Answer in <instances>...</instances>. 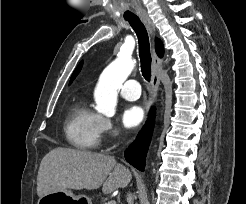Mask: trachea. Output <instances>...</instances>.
<instances>
[{"label": "trachea", "mask_w": 246, "mask_h": 204, "mask_svg": "<svg viewBox=\"0 0 246 204\" xmlns=\"http://www.w3.org/2000/svg\"><path fill=\"white\" fill-rule=\"evenodd\" d=\"M135 31L139 42V56L141 60V72L145 80L151 78V54L147 30L138 17L127 19Z\"/></svg>", "instance_id": "3493384b"}]
</instances>
